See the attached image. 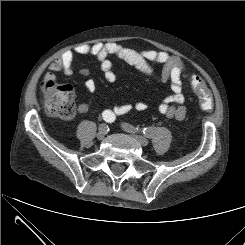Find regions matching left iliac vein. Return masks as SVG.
<instances>
[{
    "label": "left iliac vein",
    "mask_w": 245,
    "mask_h": 245,
    "mask_svg": "<svg viewBox=\"0 0 245 245\" xmlns=\"http://www.w3.org/2000/svg\"><path fill=\"white\" fill-rule=\"evenodd\" d=\"M125 130L127 132H130V133L134 134L135 138L139 141V143L141 145H143V146H147L148 145V143H149L148 139L145 136H143V135L135 134L136 132H135L133 127L125 126Z\"/></svg>",
    "instance_id": "obj_1"
}]
</instances>
